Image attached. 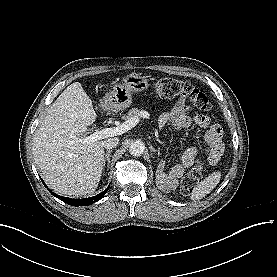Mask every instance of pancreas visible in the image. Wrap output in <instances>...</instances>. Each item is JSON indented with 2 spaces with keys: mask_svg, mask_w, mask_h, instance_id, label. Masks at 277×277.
<instances>
[{
  "mask_svg": "<svg viewBox=\"0 0 277 277\" xmlns=\"http://www.w3.org/2000/svg\"><path fill=\"white\" fill-rule=\"evenodd\" d=\"M140 110L138 108H131L127 115L125 116V119L133 118L134 116H137L140 114Z\"/></svg>",
  "mask_w": 277,
  "mask_h": 277,
  "instance_id": "cf45deb5",
  "label": "pancreas"
}]
</instances>
